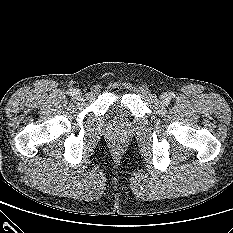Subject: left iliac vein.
<instances>
[{
    "mask_svg": "<svg viewBox=\"0 0 233 233\" xmlns=\"http://www.w3.org/2000/svg\"><path fill=\"white\" fill-rule=\"evenodd\" d=\"M160 99H161V102L166 105L168 104L170 97L168 94L164 93L160 96Z\"/></svg>",
    "mask_w": 233,
    "mask_h": 233,
    "instance_id": "1",
    "label": "left iliac vein"
}]
</instances>
